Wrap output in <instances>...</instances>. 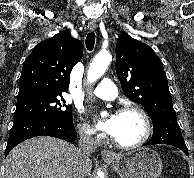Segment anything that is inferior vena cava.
<instances>
[{"mask_svg":"<svg viewBox=\"0 0 194 178\" xmlns=\"http://www.w3.org/2000/svg\"><path fill=\"white\" fill-rule=\"evenodd\" d=\"M96 148L97 143L93 137V134L88 131H81L79 140L80 161L74 170L72 178H84L85 163L89 161V155L93 153Z\"/></svg>","mask_w":194,"mask_h":178,"instance_id":"obj_1","label":"inferior vena cava"}]
</instances>
